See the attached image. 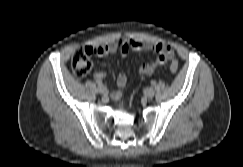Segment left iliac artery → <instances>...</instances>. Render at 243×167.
Returning <instances> with one entry per match:
<instances>
[{
	"label": "left iliac artery",
	"mask_w": 243,
	"mask_h": 167,
	"mask_svg": "<svg viewBox=\"0 0 243 167\" xmlns=\"http://www.w3.org/2000/svg\"><path fill=\"white\" fill-rule=\"evenodd\" d=\"M151 84H152V85H155V84H156V81H155V80H152V81H151Z\"/></svg>",
	"instance_id": "1"
}]
</instances>
